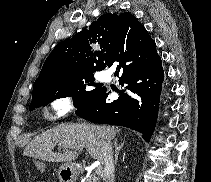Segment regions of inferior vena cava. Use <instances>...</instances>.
<instances>
[{
    "instance_id": "1",
    "label": "inferior vena cava",
    "mask_w": 211,
    "mask_h": 182,
    "mask_svg": "<svg viewBox=\"0 0 211 182\" xmlns=\"http://www.w3.org/2000/svg\"><path fill=\"white\" fill-rule=\"evenodd\" d=\"M104 182H114L113 149L109 140L103 143Z\"/></svg>"
}]
</instances>
